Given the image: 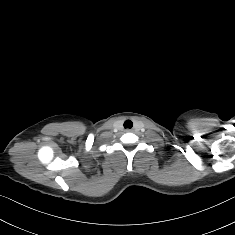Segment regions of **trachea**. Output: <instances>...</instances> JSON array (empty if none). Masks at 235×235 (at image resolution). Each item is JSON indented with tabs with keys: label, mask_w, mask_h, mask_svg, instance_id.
Masks as SVG:
<instances>
[{
	"label": "trachea",
	"mask_w": 235,
	"mask_h": 235,
	"mask_svg": "<svg viewBox=\"0 0 235 235\" xmlns=\"http://www.w3.org/2000/svg\"><path fill=\"white\" fill-rule=\"evenodd\" d=\"M132 126H133V123L131 120H126L124 122V128H132Z\"/></svg>",
	"instance_id": "1"
}]
</instances>
